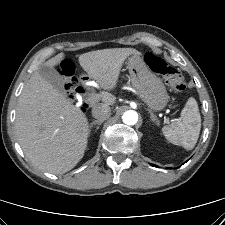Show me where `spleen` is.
Masks as SVG:
<instances>
[{"label": "spleen", "instance_id": "1", "mask_svg": "<svg viewBox=\"0 0 225 225\" xmlns=\"http://www.w3.org/2000/svg\"><path fill=\"white\" fill-rule=\"evenodd\" d=\"M201 130V116L194 98H189L179 120L162 128L165 138L174 145L191 150L197 143Z\"/></svg>", "mask_w": 225, "mask_h": 225}]
</instances>
